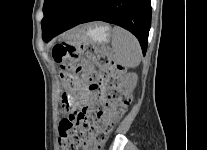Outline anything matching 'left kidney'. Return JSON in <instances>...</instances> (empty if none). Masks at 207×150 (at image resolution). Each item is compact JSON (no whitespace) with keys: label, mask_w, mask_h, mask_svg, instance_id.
Returning a JSON list of instances; mask_svg holds the SVG:
<instances>
[{"label":"left kidney","mask_w":207,"mask_h":150,"mask_svg":"<svg viewBox=\"0 0 207 150\" xmlns=\"http://www.w3.org/2000/svg\"><path fill=\"white\" fill-rule=\"evenodd\" d=\"M137 74L135 73H129L125 78V87H126V93H130L133 91V89L136 87L137 84Z\"/></svg>","instance_id":"5707ae66"}]
</instances>
